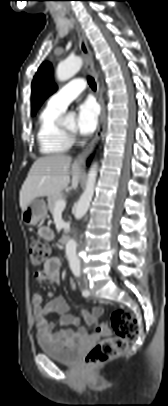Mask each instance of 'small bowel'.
Returning a JSON list of instances; mask_svg holds the SVG:
<instances>
[{"label":"small bowel","mask_w":168,"mask_h":406,"mask_svg":"<svg viewBox=\"0 0 168 406\" xmlns=\"http://www.w3.org/2000/svg\"><path fill=\"white\" fill-rule=\"evenodd\" d=\"M38 235L46 240H52L54 237L53 231L43 226L39 228ZM61 261L57 256L49 258L43 269L34 273V279L38 284H57L60 279ZM71 289L76 288V283L71 280L69 283ZM51 300L43 304V297L35 293L32 297L33 317L38 330V336L53 344L63 346H73L80 339L89 337V330L95 329L99 331L97 319L103 314V309L100 306H95L91 312L83 311V316L86 322V327L73 329L72 325H79L80 319L68 314L69 306L62 297H53L52 293H48ZM50 313H58L60 315V324L62 329L56 331L55 323L47 319Z\"/></svg>","instance_id":"1"}]
</instances>
